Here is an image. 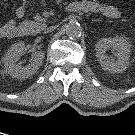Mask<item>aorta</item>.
Segmentation results:
<instances>
[{"label":"aorta","mask_w":135,"mask_h":135,"mask_svg":"<svg viewBox=\"0 0 135 135\" xmlns=\"http://www.w3.org/2000/svg\"><path fill=\"white\" fill-rule=\"evenodd\" d=\"M66 35L70 38H78L81 35L82 28L78 22H69L65 27Z\"/></svg>","instance_id":"obj_1"}]
</instances>
